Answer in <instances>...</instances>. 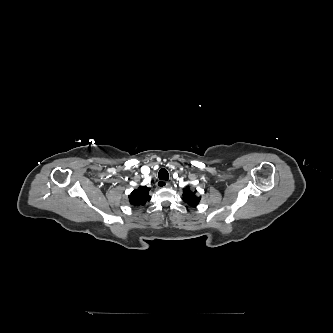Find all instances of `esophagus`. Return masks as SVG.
Returning a JSON list of instances; mask_svg holds the SVG:
<instances>
[{
    "mask_svg": "<svg viewBox=\"0 0 333 333\" xmlns=\"http://www.w3.org/2000/svg\"><path fill=\"white\" fill-rule=\"evenodd\" d=\"M156 185L159 188H164V187H169L170 186L169 182H167L165 180H158Z\"/></svg>",
    "mask_w": 333,
    "mask_h": 333,
    "instance_id": "34e87169",
    "label": "esophagus"
}]
</instances>
